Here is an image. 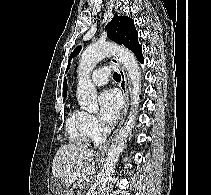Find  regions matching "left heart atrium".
I'll return each mask as SVG.
<instances>
[{"instance_id": "left-heart-atrium-1", "label": "left heart atrium", "mask_w": 211, "mask_h": 195, "mask_svg": "<svg viewBox=\"0 0 211 195\" xmlns=\"http://www.w3.org/2000/svg\"><path fill=\"white\" fill-rule=\"evenodd\" d=\"M100 118L106 124H113L120 112L121 99L115 91L107 90L99 97Z\"/></svg>"}]
</instances>
